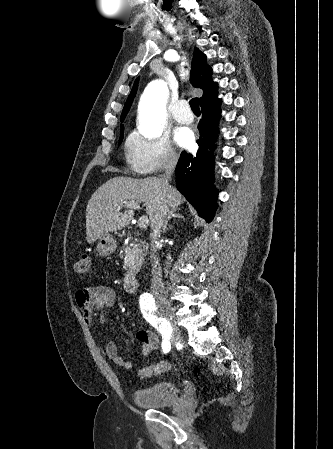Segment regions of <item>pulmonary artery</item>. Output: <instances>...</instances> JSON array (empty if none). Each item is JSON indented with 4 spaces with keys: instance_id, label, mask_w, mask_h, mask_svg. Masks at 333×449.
<instances>
[{
    "instance_id": "pulmonary-artery-1",
    "label": "pulmonary artery",
    "mask_w": 333,
    "mask_h": 449,
    "mask_svg": "<svg viewBox=\"0 0 333 449\" xmlns=\"http://www.w3.org/2000/svg\"><path fill=\"white\" fill-rule=\"evenodd\" d=\"M172 114L174 119L179 123L188 124L193 121V114L185 101L176 103L173 107Z\"/></svg>"
}]
</instances>
